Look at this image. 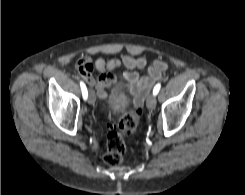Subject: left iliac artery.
<instances>
[{
    "label": "left iliac artery",
    "instance_id": "left-iliac-artery-1",
    "mask_svg": "<svg viewBox=\"0 0 245 195\" xmlns=\"http://www.w3.org/2000/svg\"><path fill=\"white\" fill-rule=\"evenodd\" d=\"M160 88H161V84H160V83H158V84L155 85V87H154V89H153V94H154L155 96L158 94Z\"/></svg>",
    "mask_w": 245,
    "mask_h": 195
}]
</instances>
